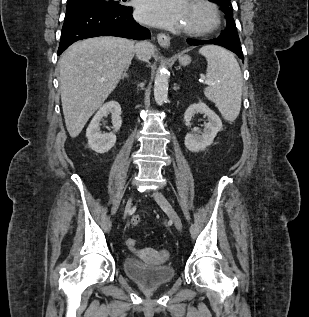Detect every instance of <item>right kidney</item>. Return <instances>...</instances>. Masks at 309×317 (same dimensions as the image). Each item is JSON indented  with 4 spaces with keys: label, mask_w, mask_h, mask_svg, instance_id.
Masks as SVG:
<instances>
[{
    "label": "right kidney",
    "mask_w": 309,
    "mask_h": 317,
    "mask_svg": "<svg viewBox=\"0 0 309 317\" xmlns=\"http://www.w3.org/2000/svg\"><path fill=\"white\" fill-rule=\"evenodd\" d=\"M109 113L112 114L113 132L102 134L100 132L101 120ZM121 125L122 118L120 104L116 101L105 103L97 111L86 130L89 147L97 153L108 152L116 143L115 132L120 129Z\"/></svg>",
    "instance_id": "right-kidney-1"
}]
</instances>
